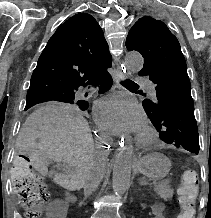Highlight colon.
<instances>
[{"label": "colon", "mask_w": 211, "mask_h": 218, "mask_svg": "<svg viewBox=\"0 0 211 218\" xmlns=\"http://www.w3.org/2000/svg\"><path fill=\"white\" fill-rule=\"evenodd\" d=\"M14 192L27 218H38L48 199L49 191L42 178L36 173L30 159L20 154L11 172ZM199 177L195 170L187 169L182 173L179 188L181 210L176 218H195V203L198 195Z\"/></svg>", "instance_id": "colon-1"}]
</instances>
